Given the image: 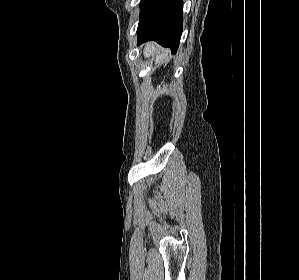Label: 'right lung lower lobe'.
Instances as JSON below:
<instances>
[{"label": "right lung lower lobe", "instance_id": "98d812e1", "mask_svg": "<svg viewBox=\"0 0 299 280\" xmlns=\"http://www.w3.org/2000/svg\"><path fill=\"white\" fill-rule=\"evenodd\" d=\"M140 5L137 45L154 40L176 53L182 34V0H141Z\"/></svg>", "mask_w": 299, "mask_h": 280}]
</instances>
